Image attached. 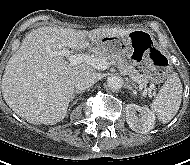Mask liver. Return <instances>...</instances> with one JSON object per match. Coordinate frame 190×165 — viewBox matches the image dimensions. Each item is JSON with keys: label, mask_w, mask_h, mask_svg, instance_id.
I'll list each match as a JSON object with an SVG mask.
<instances>
[{"label": "liver", "mask_w": 190, "mask_h": 165, "mask_svg": "<svg viewBox=\"0 0 190 165\" xmlns=\"http://www.w3.org/2000/svg\"><path fill=\"white\" fill-rule=\"evenodd\" d=\"M132 29L97 28L91 31L40 27L28 33L9 59L2 77V94L8 106L32 124L54 125L67 115L76 77L92 71L85 64L71 66L57 53L65 48L84 50L89 41L125 37Z\"/></svg>", "instance_id": "6515ba94"}]
</instances>
